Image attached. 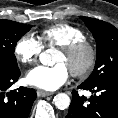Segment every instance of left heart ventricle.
I'll list each match as a JSON object with an SVG mask.
<instances>
[{"instance_id": "1", "label": "left heart ventricle", "mask_w": 118, "mask_h": 118, "mask_svg": "<svg viewBox=\"0 0 118 118\" xmlns=\"http://www.w3.org/2000/svg\"><path fill=\"white\" fill-rule=\"evenodd\" d=\"M87 61V53L81 52L74 56H67L63 52L58 51L53 59L54 63H62L64 64L69 71L74 69H79L85 65Z\"/></svg>"}]
</instances>
